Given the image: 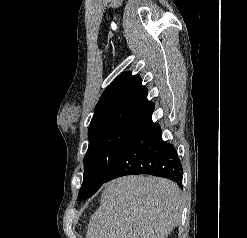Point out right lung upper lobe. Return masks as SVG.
Here are the masks:
<instances>
[{
  "label": "right lung upper lobe",
  "mask_w": 247,
  "mask_h": 238,
  "mask_svg": "<svg viewBox=\"0 0 247 238\" xmlns=\"http://www.w3.org/2000/svg\"><path fill=\"white\" fill-rule=\"evenodd\" d=\"M147 93L139 75H132L129 71L119 75L96 105L88 135L117 121L151 120L154 105L147 100Z\"/></svg>",
  "instance_id": "right-lung-upper-lobe-1"
}]
</instances>
